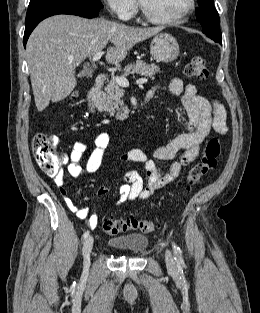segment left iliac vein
I'll return each mask as SVG.
<instances>
[{"label": "left iliac vein", "mask_w": 260, "mask_h": 313, "mask_svg": "<svg viewBox=\"0 0 260 313\" xmlns=\"http://www.w3.org/2000/svg\"><path fill=\"white\" fill-rule=\"evenodd\" d=\"M165 260H166V264L170 269H175V261L172 257V254L169 250L166 251L165 253Z\"/></svg>", "instance_id": "4c4485c4"}]
</instances>
